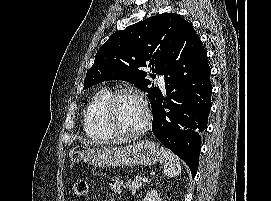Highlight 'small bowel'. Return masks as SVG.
<instances>
[{"mask_svg": "<svg viewBox=\"0 0 271 201\" xmlns=\"http://www.w3.org/2000/svg\"><path fill=\"white\" fill-rule=\"evenodd\" d=\"M109 185L113 192L119 194L122 191L123 180L120 177H113L110 179Z\"/></svg>", "mask_w": 271, "mask_h": 201, "instance_id": "small-bowel-1", "label": "small bowel"}]
</instances>
